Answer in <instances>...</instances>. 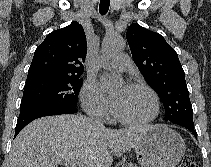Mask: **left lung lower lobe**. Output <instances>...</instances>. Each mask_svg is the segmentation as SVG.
I'll return each mask as SVG.
<instances>
[{
	"label": "left lung lower lobe",
	"mask_w": 211,
	"mask_h": 167,
	"mask_svg": "<svg viewBox=\"0 0 211 167\" xmlns=\"http://www.w3.org/2000/svg\"><path fill=\"white\" fill-rule=\"evenodd\" d=\"M178 125L183 126L187 128L188 130H190L193 133V135L197 138V133L194 130V125H186V124H178Z\"/></svg>",
	"instance_id": "left-lung-lower-lobe-1"
}]
</instances>
